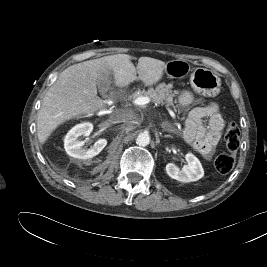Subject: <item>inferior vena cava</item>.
I'll list each match as a JSON object with an SVG mask.
<instances>
[{
	"label": "inferior vena cava",
	"instance_id": "1",
	"mask_svg": "<svg viewBox=\"0 0 267 267\" xmlns=\"http://www.w3.org/2000/svg\"><path fill=\"white\" fill-rule=\"evenodd\" d=\"M114 122H124L128 128L133 129L138 123V118L133 111H121L116 113Z\"/></svg>",
	"mask_w": 267,
	"mask_h": 267
}]
</instances>
